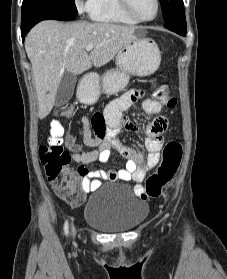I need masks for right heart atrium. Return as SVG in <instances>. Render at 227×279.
<instances>
[{
  "label": "right heart atrium",
  "mask_w": 227,
  "mask_h": 279,
  "mask_svg": "<svg viewBox=\"0 0 227 279\" xmlns=\"http://www.w3.org/2000/svg\"><path fill=\"white\" fill-rule=\"evenodd\" d=\"M95 0H75L77 7L81 11L90 12Z\"/></svg>",
  "instance_id": "1"
}]
</instances>
